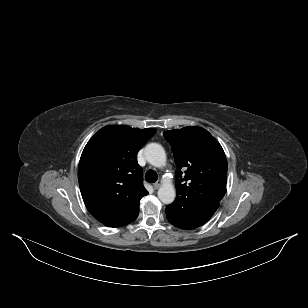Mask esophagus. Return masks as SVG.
I'll return each instance as SVG.
<instances>
[{
    "instance_id": "esophagus-1",
    "label": "esophagus",
    "mask_w": 308,
    "mask_h": 308,
    "mask_svg": "<svg viewBox=\"0 0 308 308\" xmlns=\"http://www.w3.org/2000/svg\"><path fill=\"white\" fill-rule=\"evenodd\" d=\"M161 181L160 180H158L156 183H154L153 184V188L156 190V189H158L159 187H160V185H161Z\"/></svg>"
}]
</instances>
